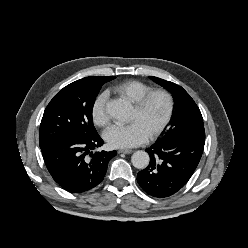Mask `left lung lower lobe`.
Segmentation results:
<instances>
[{
	"mask_svg": "<svg viewBox=\"0 0 248 248\" xmlns=\"http://www.w3.org/2000/svg\"><path fill=\"white\" fill-rule=\"evenodd\" d=\"M204 144L205 139L194 136L159 140L146 149L150 163L138 173L139 185L153 197L165 198L175 194L194 173Z\"/></svg>",
	"mask_w": 248,
	"mask_h": 248,
	"instance_id": "left-lung-lower-lobe-1",
	"label": "left lung lower lobe"
}]
</instances>
